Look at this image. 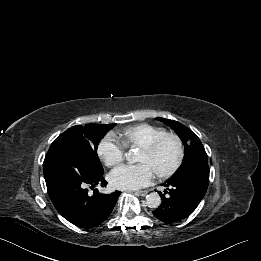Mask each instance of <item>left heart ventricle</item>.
Segmentation results:
<instances>
[{"instance_id": "1", "label": "left heart ventricle", "mask_w": 261, "mask_h": 261, "mask_svg": "<svg viewBox=\"0 0 261 261\" xmlns=\"http://www.w3.org/2000/svg\"><path fill=\"white\" fill-rule=\"evenodd\" d=\"M178 147L175 139H164L158 148L150 154L137 153L136 161L148 165L156 174L169 169L176 161Z\"/></svg>"}]
</instances>
